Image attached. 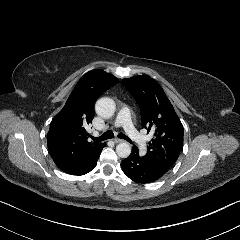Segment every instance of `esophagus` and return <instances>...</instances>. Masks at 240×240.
<instances>
[{
    "instance_id": "esophagus-1",
    "label": "esophagus",
    "mask_w": 240,
    "mask_h": 240,
    "mask_svg": "<svg viewBox=\"0 0 240 240\" xmlns=\"http://www.w3.org/2000/svg\"><path fill=\"white\" fill-rule=\"evenodd\" d=\"M120 142H123V140H121V139H114V143H120Z\"/></svg>"
}]
</instances>
